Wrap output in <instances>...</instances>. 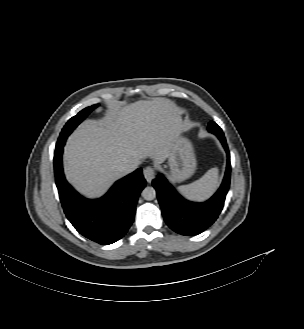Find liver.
<instances>
[{"mask_svg": "<svg viewBox=\"0 0 304 329\" xmlns=\"http://www.w3.org/2000/svg\"><path fill=\"white\" fill-rule=\"evenodd\" d=\"M182 128L181 111L165 98L114 106L100 120H86L68 138L64 170L88 197L102 195L123 173L119 165L146 157L164 162Z\"/></svg>", "mask_w": 304, "mask_h": 329, "instance_id": "obj_1", "label": "liver"}]
</instances>
